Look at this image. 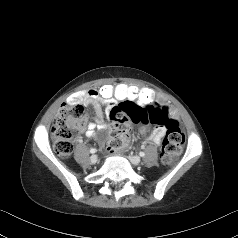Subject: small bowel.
<instances>
[{
    "label": "small bowel",
    "mask_w": 238,
    "mask_h": 238,
    "mask_svg": "<svg viewBox=\"0 0 238 238\" xmlns=\"http://www.w3.org/2000/svg\"><path fill=\"white\" fill-rule=\"evenodd\" d=\"M98 89H91L88 91H81L76 93L69 102H75V103H83V104H91L94 107L95 111V122H89L87 117H84L81 121L80 128L82 130L86 131V134L89 137H95L96 136V129H104L106 124L104 122V111L103 106L107 107L110 110L115 107L122 105V103H113V102H106L103 101L97 93ZM158 104V103H154ZM173 115L171 118H174L177 116V112L175 109H173ZM155 127L149 134L148 138L154 143L159 144L164 133H165V126H157L153 124Z\"/></svg>",
    "instance_id": "obj_1"
}]
</instances>
